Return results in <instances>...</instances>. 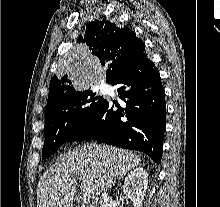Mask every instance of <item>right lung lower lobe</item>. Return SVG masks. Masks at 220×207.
Wrapping results in <instances>:
<instances>
[{
  "instance_id": "right-lung-lower-lobe-1",
  "label": "right lung lower lobe",
  "mask_w": 220,
  "mask_h": 207,
  "mask_svg": "<svg viewBox=\"0 0 220 207\" xmlns=\"http://www.w3.org/2000/svg\"><path fill=\"white\" fill-rule=\"evenodd\" d=\"M121 84L117 90L124 108L107 100L90 120L80 126L69 141L96 139L109 145L146 153L157 164L163 151L166 129L165 91L158 69L141 53L110 82Z\"/></svg>"
}]
</instances>
